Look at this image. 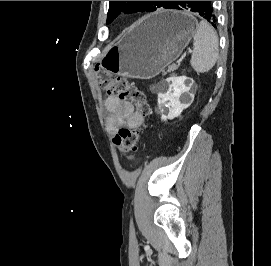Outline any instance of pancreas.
I'll return each mask as SVG.
<instances>
[{
	"instance_id": "1",
	"label": "pancreas",
	"mask_w": 271,
	"mask_h": 266,
	"mask_svg": "<svg viewBox=\"0 0 271 266\" xmlns=\"http://www.w3.org/2000/svg\"><path fill=\"white\" fill-rule=\"evenodd\" d=\"M176 69H178V66L176 64H172V65L168 66L167 72H173ZM164 74H166V72H164Z\"/></svg>"
}]
</instances>
